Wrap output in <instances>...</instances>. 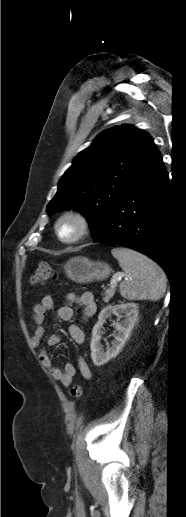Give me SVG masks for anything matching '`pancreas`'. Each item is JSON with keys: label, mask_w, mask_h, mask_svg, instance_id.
<instances>
[{"label": "pancreas", "mask_w": 186, "mask_h": 517, "mask_svg": "<svg viewBox=\"0 0 186 517\" xmlns=\"http://www.w3.org/2000/svg\"><path fill=\"white\" fill-rule=\"evenodd\" d=\"M115 294V288H110V289H107L104 293V297H103V300L104 302H109V300L113 297V295Z\"/></svg>", "instance_id": "1"}]
</instances>
